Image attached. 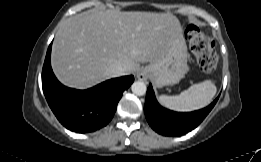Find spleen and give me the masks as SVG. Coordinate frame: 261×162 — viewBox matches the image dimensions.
<instances>
[{
    "label": "spleen",
    "mask_w": 261,
    "mask_h": 162,
    "mask_svg": "<svg viewBox=\"0 0 261 162\" xmlns=\"http://www.w3.org/2000/svg\"><path fill=\"white\" fill-rule=\"evenodd\" d=\"M216 86L211 80L190 86L179 95L158 97L159 102L172 110L189 112L207 106L216 94Z\"/></svg>",
    "instance_id": "1"
}]
</instances>
